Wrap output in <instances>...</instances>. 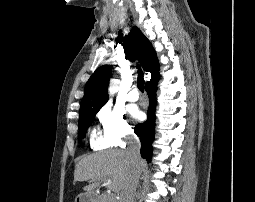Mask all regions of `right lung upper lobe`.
Returning <instances> with one entry per match:
<instances>
[{
	"label": "right lung upper lobe",
	"instance_id": "cb5924a9",
	"mask_svg": "<svg viewBox=\"0 0 255 202\" xmlns=\"http://www.w3.org/2000/svg\"><path fill=\"white\" fill-rule=\"evenodd\" d=\"M125 52L131 61L137 57L147 72L151 73V80L146 85L156 83L159 80V63L156 53L138 27L132 28L126 38ZM111 75V68L108 65L99 67L88 80L84 96L81 100L80 110L100 109L108 100V83Z\"/></svg>",
	"mask_w": 255,
	"mask_h": 202
}]
</instances>
